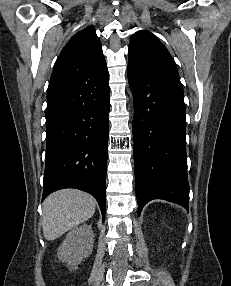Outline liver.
<instances>
[{
    "label": "liver",
    "instance_id": "6515ba94",
    "mask_svg": "<svg viewBox=\"0 0 231 286\" xmlns=\"http://www.w3.org/2000/svg\"><path fill=\"white\" fill-rule=\"evenodd\" d=\"M95 209V199L83 191L63 189L50 194L43 203L44 237L49 241L57 239L90 219Z\"/></svg>",
    "mask_w": 231,
    "mask_h": 286
}]
</instances>
